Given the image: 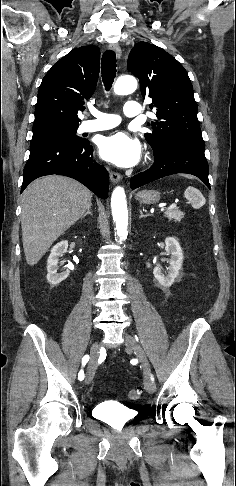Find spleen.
I'll use <instances>...</instances> for the list:
<instances>
[{
    "mask_svg": "<svg viewBox=\"0 0 236 486\" xmlns=\"http://www.w3.org/2000/svg\"><path fill=\"white\" fill-rule=\"evenodd\" d=\"M184 195L190 201L192 207L195 209L201 208L206 202L202 193L192 186L187 187Z\"/></svg>",
    "mask_w": 236,
    "mask_h": 486,
    "instance_id": "3e777b00",
    "label": "spleen"
}]
</instances>
